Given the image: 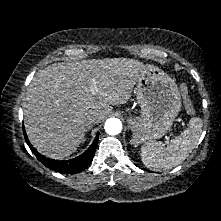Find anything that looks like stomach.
<instances>
[{
    "mask_svg": "<svg viewBox=\"0 0 221 221\" xmlns=\"http://www.w3.org/2000/svg\"><path fill=\"white\" fill-rule=\"evenodd\" d=\"M141 115L129 117L133 144L147 143L167 133L181 109V98L175 81L155 66H145L136 85Z\"/></svg>",
    "mask_w": 221,
    "mask_h": 221,
    "instance_id": "1",
    "label": "stomach"
}]
</instances>
